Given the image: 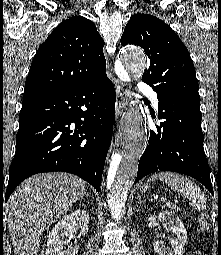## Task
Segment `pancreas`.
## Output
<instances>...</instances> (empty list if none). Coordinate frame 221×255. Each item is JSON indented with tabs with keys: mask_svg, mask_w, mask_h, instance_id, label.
Wrapping results in <instances>:
<instances>
[{
	"mask_svg": "<svg viewBox=\"0 0 221 255\" xmlns=\"http://www.w3.org/2000/svg\"><path fill=\"white\" fill-rule=\"evenodd\" d=\"M167 206H168L169 208L173 209V210H176V206L173 205V204H167Z\"/></svg>",
	"mask_w": 221,
	"mask_h": 255,
	"instance_id": "obj_1",
	"label": "pancreas"
}]
</instances>
